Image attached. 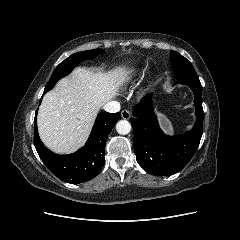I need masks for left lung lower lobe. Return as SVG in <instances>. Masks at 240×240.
Listing matches in <instances>:
<instances>
[{
    "mask_svg": "<svg viewBox=\"0 0 240 240\" xmlns=\"http://www.w3.org/2000/svg\"><path fill=\"white\" fill-rule=\"evenodd\" d=\"M177 83L188 85L195 96L197 120L191 131L173 137L163 134L152 108L151 94L141 99L130 119L137 162L144 170L157 176H167L184 168L195 154L203 134L200 81L178 80Z\"/></svg>",
    "mask_w": 240,
    "mask_h": 240,
    "instance_id": "left-lung-lower-lobe-1",
    "label": "left lung lower lobe"
}]
</instances>
